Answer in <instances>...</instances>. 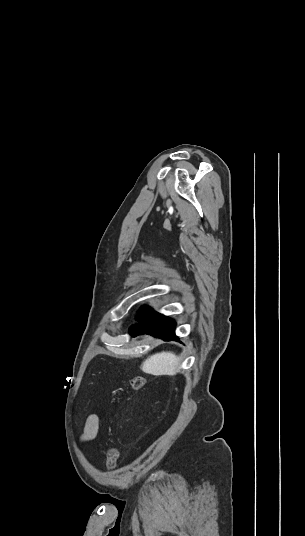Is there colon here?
Instances as JSON below:
<instances>
[{
  "mask_svg": "<svg viewBox=\"0 0 305 536\" xmlns=\"http://www.w3.org/2000/svg\"><path fill=\"white\" fill-rule=\"evenodd\" d=\"M130 386L134 390H139L145 386V377L142 375H135L130 379ZM118 450L115 447H111L107 455V466L109 470H114L117 466Z\"/></svg>",
  "mask_w": 305,
  "mask_h": 536,
  "instance_id": "1",
  "label": "colon"
}]
</instances>
